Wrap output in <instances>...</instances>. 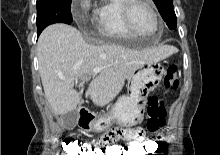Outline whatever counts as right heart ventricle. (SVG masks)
<instances>
[{
	"instance_id": "obj_1",
	"label": "right heart ventricle",
	"mask_w": 220,
	"mask_h": 155,
	"mask_svg": "<svg viewBox=\"0 0 220 155\" xmlns=\"http://www.w3.org/2000/svg\"><path fill=\"white\" fill-rule=\"evenodd\" d=\"M124 0H100L94 17L97 34L105 40H121L134 37L126 28L122 17Z\"/></svg>"
}]
</instances>
